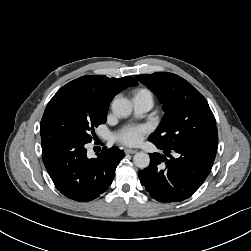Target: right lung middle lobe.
Returning a JSON list of instances; mask_svg holds the SVG:
<instances>
[{
	"label": "right lung middle lobe",
	"instance_id": "dd1d6c3e",
	"mask_svg": "<svg viewBox=\"0 0 251 251\" xmlns=\"http://www.w3.org/2000/svg\"><path fill=\"white\" fill-rule=\"evenodd\" d=\"M107 111L88 95L63 86L44 111L40 135H65L89 143L94 128L106 122Z\"/></svg>",
	"mask_w": 251,
	"mask_h": 251
}]
</instances>
